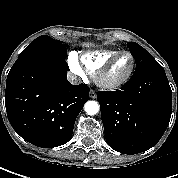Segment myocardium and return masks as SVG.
Instances as JSON below:
<instances>
[{"label": "myocardium", "mask_w": 178, "mask_h": 178, "mask_svg": "<svg viewBox=\"0 0 178 178\" xmlns=\"http://www.w3.org/2000/svg\"><path fill=\"white\" fill-rule=\"evenodd\" d=\"M124 54L129 55L130 58L132 59V66L130 70L127 72V74L123 78L117 81H113V82L106 81L104 78L105 74L111 68V66L115 63V61ZM135 68H136V59L133 53L127 50L120 51L116 55H114L112 58H110L99 70L95 72L94 81L96 85L100 87L101 89L108 90V91L117 90L121 88L122 86H124L131 79L135 71Z\"/></svg>", "instance_id": "myocardium-1"}]
</instances>
